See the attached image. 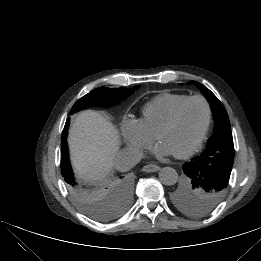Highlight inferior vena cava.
Wrapping results in <instances>:
<instances>
[{
    "instance_id": "1",
    "label": "inferior vena cava",
    "mask_w": 261,
    "mask_h": 261,
    "mask_svg": "<svg viewBox=\"0 0 261 261\" xmlns=\"http://www.w3.org/2000/svg\"><path fill=\"white\" fill-rule=\"evenodd\" d=\"M142 158L143 153L140 150L124 148L115 155L113 167L120 172H125L138 164Z\"/></svg>"
}]
</instances>
